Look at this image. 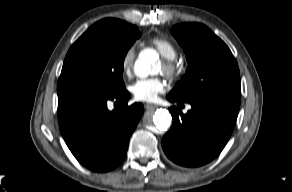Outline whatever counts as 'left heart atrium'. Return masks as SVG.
<instances>
[{
  "label": "left heart atrium",
  "mask_w": 292,
  "mask_h": 192,
  "mask_svg": "<svg viewBox=\"0 0 292 192\" xmlns=\"http://www.w3.org/2000/svg\"><path fill=\"white\" fill-rule=\"evenodd\" d=\"M164 89V83L158 77L138 79L130 87L136 100L147 102L154 101Z\"/></svg>",
  "instance_id": "39dd6f15"
}]
</instances>
